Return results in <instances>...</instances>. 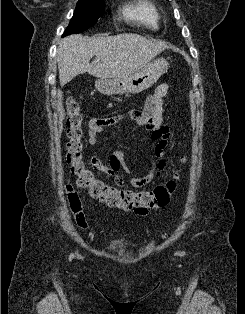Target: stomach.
<instances>
[{"label":"stomach","mask_w":245,"mask_h":314,"mask_svg":"<svg viewBox=\"0 0 245 314\" xmlns=\"http://www.w3.org/2000/svg\"><path fill=\"white\" fill-rule=\"evenodd\" d=\"M168 67V62L164 58H159L125 77L98 78L95 87L104 95L140 93L156 83L160 76L166 73Z\"/></svg>","instance_id":"0dacf381"}]
</instances>
